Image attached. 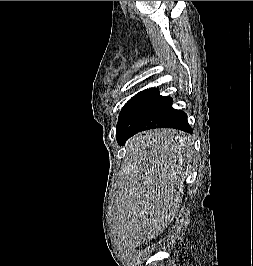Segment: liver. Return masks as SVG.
Wrapping results in <instances>:
<instances>
[{"label":"liver","instance_id":"1","mask_svg":"<svg viewBox=\"0 0 253 266\" xmlns=\"http://www.w3.org/2000/svg\"><path fill=\"white\" fill-rule=\"evenodd\" d=\"M133 164L116 199V227L131 248L161 234L179 210V192L190 174L191 136L173 129H153L127 142Z\"/></svg>","mask_w":253,"mask_h":266}]
</instances>
